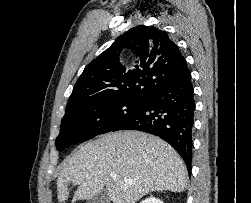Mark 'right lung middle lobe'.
Segmentation results:
<instances>
[{
    "label": "right lung middle lobe",
    "mask_w": 251,
    "mask_h": 203,
    "mask_svg": "<svg viewBox=\"0 0 251 203\" xmlns=\"http://www.w3.org/2000/svg\"><path fill=\"white\" fill-rule=\"evenodd\" d=\"M143 104L144 101L138 100L104 99L68 105L56 138L57 150L112 131Z\"/></svg>",
    "instance_id": "dd1d6c3e"
}]
</instances>
